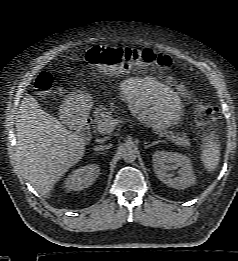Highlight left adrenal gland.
Segmentation results:
<instances>
[{"label":"left adrenal gland","mask_w":238,"mask_h":261,"mask_svg":"<svg viewBox=\"0 0 238 261\" xmlns=\"http://www.w3.org/2000/svg\"><path fill=\"white\" fill-rule=\"evenodd\" d=\"M162 142H163V141L158 140V141H153V142H151V143H145L144 148L147 149L148 147L154 146V145H156V144H158V143H162Z\"/></svg>","instance_id":"a2214340"}]
</instances>
